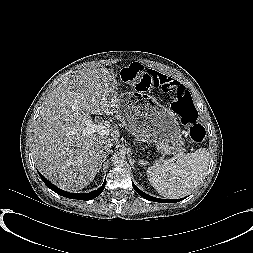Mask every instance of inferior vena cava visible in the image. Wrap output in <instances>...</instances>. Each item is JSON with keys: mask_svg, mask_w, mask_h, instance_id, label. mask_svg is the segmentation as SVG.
Masks as SVG:
<instances>
[{"mask_svg": "<svg viewBox=\"0 0 253 253\" xmlns=\"http://www.w3.org/2000/svg\"><path fill=\"white\" fill-rule=\"evenodd\" d=\"M111 146H112L111 144H110V145H106V146H105V150H106V151H111V150H110V147H111Z\"/></svg>", "mask_w": 253, "mask_h": 253, "instance_id": "inferior-vena-cava-1", "label": "inferior vena cava"}]
</instances>
